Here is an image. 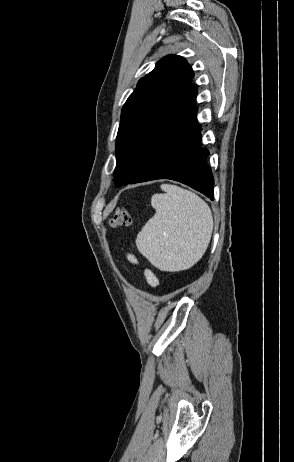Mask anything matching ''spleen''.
Instances as JSON below:
<instances>
[{
    "instance_id": "3e777b00",
    "label": "spleen",
    "mask_w": 294,
    "mask_h": 462,
    "mask_svg": "<svg viewBox=\"0 0 294 462\" xmlns=\"http://www.w3.org/2000/svg\"><path fill=\"white\" fill-rule=\"evenodd\" d=\"M164 194H154L156 213L143 226L136 245L155 267L181 271L192 267L205 253L213 230L207 203L195 193L163 184Z\"/></svg>"
}]
</instances>
